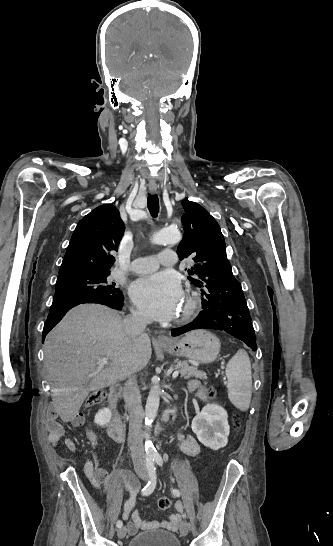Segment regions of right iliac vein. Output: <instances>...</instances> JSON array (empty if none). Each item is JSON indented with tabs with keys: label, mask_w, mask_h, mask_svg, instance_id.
I'll list each match as a JSON object with an SVG mask.
<instances>
[{
	"label": "right iliac vein",
	"mask_w": 333,
	"mask_h": 546,
	"mask_svg": "<svg viewBox=\"0 0 333 546\" xmlns=\"http://www.w3.org/2000/svg\"><path fill=\"white\" fill-rule=\"evenodd\" d=\"M139 477L142 478V479H146V475L144 472L140 471L138 473ZM127 533V528L125 526L119 528V530L117 531V536L120 538V539H123L125 537Z\"/></svg>",
	"instance_id": "63e3f726"
}]
</instances>
